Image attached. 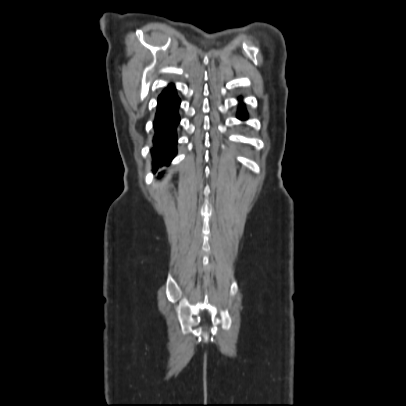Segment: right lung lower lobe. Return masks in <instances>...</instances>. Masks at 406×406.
<instances>
[{"label":"right lung lower lobe","mask_w":406,"mask_h":406,"mask_svg":"<svg viewBox=\"0 0 406 406\" xmlns=\"http://www.w3.org/2000/svg\"><path fill=\"white\" fill-rule=\"evenodd\" d=\"M158 110L154 122L156 135L152 148L153 172L157 171V166L168 164L176 154V127L179 123L177 109L180 100L175 92L174 86L169 85L158 98Z\"/></svg>","instance_id":"1"}]
</instances>
